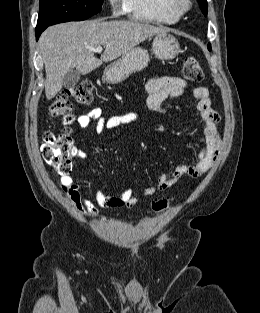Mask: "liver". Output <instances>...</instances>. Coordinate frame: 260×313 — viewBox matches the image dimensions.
I'll use <instances>...</instances> for the list:
<instances>
[{"label": "liver", "instance_id": "liver-1", "mask_svg": "<svg viewBox=\"0 0 260 313\" xmlns=\"http://www.w3.org/2000/svg\"><path fill=\"white\" fill-rule=\"evenodd\" d=\"M138 21H104L102 19L67 22L47 28L39 39L46 71L45 95L51 100L61 90L65 75L76 68L83 75L126 54L145 39L167 33ZM104 46L100 59L92 48Z\"/></svg>", "mask_w": 260, "mask_h": 313}]
</instances>
